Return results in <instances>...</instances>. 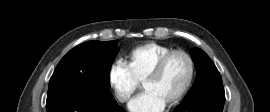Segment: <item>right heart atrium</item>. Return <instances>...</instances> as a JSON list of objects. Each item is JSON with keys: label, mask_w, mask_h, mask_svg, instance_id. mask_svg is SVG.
<instances>
[{"label": "right heart atrium", "mask_w": 270, "mask_h": 112, "mask_svg": "<svg viewBox=\"0 0 270 112\" xmlns=\"http://www.w3.org/2000/svg\"><path fill=\"white\" fill-rule=\"evenodd\" d=\"M107 81L115 99L120 103L128 102L139 89L140 83L122 61L113 62L107 74Z\"/></svg>", "instance_id": "d8ad5b80"}]
</instances>
